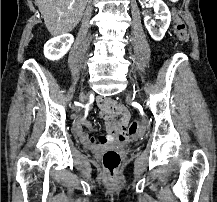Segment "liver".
<instances>
[{
	"label": "liver",
	"instance_id": "6515ba94",
	"mask_svg": "<svg viewBox=\"0 0 217 202\" xmlns=\"http://www.w3.org/2000/svg\"><path fill=\"white\" fill-rule=\"evenodd\" d=\"M88 0H35L52 36L72 32L79 24Z\"/></svg>",
	"mask_w": 217,
	"mask_h": 202
}]
</instances>
